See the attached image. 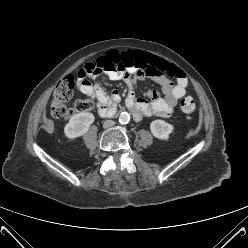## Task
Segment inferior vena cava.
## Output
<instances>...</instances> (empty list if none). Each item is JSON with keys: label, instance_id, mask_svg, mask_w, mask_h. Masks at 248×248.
<instances>
[{"label": "inferior vena cava", "instance_id": "obj_1", "mask_svg": "<svg viewBox=\"0 0 248 248\" xmlns=\"http://www.w3.org/2000/svg\"><path fill=\"white\" fill-rule=\"evenodd\" d=\"M113 125H115V122L113 120H106L103 124V127L107 129L112 127Z\"/></svg>", "mask_w": 248, "mask_h": 248}]
</instances>
